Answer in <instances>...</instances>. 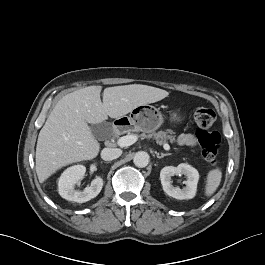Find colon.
<instances>
[{
    "label": "colon",
    "instance_id": "1",
    "mask_svg": "<svg viewBox=\"0 0 265 265\" xmlns=\"http://www.w3.org/2000/svg\"><path fill=\"white\" fill-rule=\"evenodd\" d=\"M197 125L196 138L201 148V153L206 162L214 165L220 148L221 136L212 129L216 121V114L210 108L199 107L192 113Z\"/></svg>",
    "mask_w": 265,
    "mask_h": 265
}]
</instances>
